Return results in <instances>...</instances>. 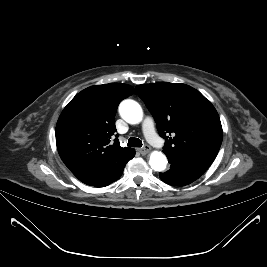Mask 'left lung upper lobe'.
<instances>
[{
    "instance_id": "left-lung-upper-lobe-1",
    "label": "left lung upper lobe",
    "mask_w": 267,
    "mask_h": 267,
    "mask_svg": "<svg viewBox=\"0 0 267 267\" xmlns=\"http://www.w3.org/2000/svg\"><path fill=\"white\" fill-rule=\"evenodd\" d=\"M136 91L165 139L163 152L208 168L223 138L211 102L196 89L180 83L143 84L136 86Z\"/></svg>"
}]
</instances>
